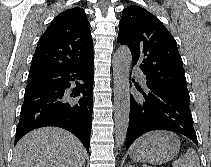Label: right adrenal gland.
<instances>
[{"mask_svg":"<svg viewBox=\"0 0 211 167\" xmlns=\"http://www.w3.org/2000/svg\"><path fill=\"white\" fill-rule=\"evenodd\" d=\"M83 167H85V162H84V164H83Z\"/></svg>","mask_w":211,"mask_h":167,"instance_id":"right-adrenal-gland-1","label":"right adrenal gland"}]
</instances>
